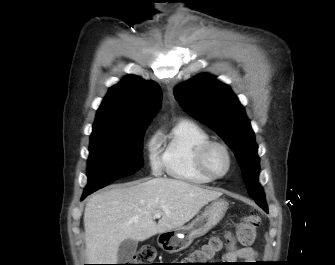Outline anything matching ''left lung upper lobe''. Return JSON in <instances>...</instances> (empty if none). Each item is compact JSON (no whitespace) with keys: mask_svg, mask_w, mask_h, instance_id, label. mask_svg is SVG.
<instances>
[{"mask_svg":"<svg viewBox=\"0 0 335 265\" xmlns=\"http://www.w3.org/2000/svg\"><path fill=\"white\" fill-rule=\"evenodd\" d=\"M174 96L192 116L213 129L234 151L248 194L268 212L258 182V146L250 121L232 90L209 74H201L177 86Z\"/></svg>","mask_w":335,"mask_h":265,"instance_id":"left-lung-upper-lobe-1","label":"left lung upper lobe"}]
</instances>
